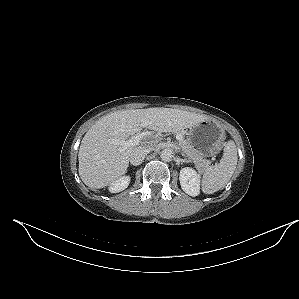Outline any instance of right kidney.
<instances>
[{
	"label": "right kidney",
	"mask_w": 299,
	"mask_h": 299,
	"mask_svg": "<svg viewBox=\"0 0 299 299\" xmlns=\"http://www.w3.org/2000/svg\"><path fill=\"white\" fill-rule=\"evenodd\" d=\"M130 183V177L129 176H123L112 182L109 186V191L111 193H117L120 191H123L128 187Z\"/></svg>",
	"instance_id": "ca27d5eb"
}]
</instances>
